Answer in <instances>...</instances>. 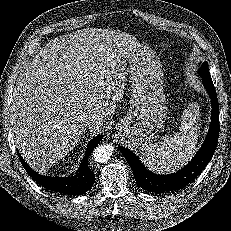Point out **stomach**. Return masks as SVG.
Returning a JSON list of instances; mask_svg holds the SVG:
<instances>
[{"instance_id":"obj_1","label":"stomach","mask_w":231,"mask_h":231,"mask_svg":"<svg viewBox=\"0 0 231 231\" xmlns=\"http://www.w3.org/2000/svg\"><path fill=\"white\" fill-rule=\"evenodd\" d=\"M129 74L130 108L118 125V133L131 147L143 148L152 143L166 121L164 73L157 54L143 48L129 57Z\"/></svg>"}]
</instances>
